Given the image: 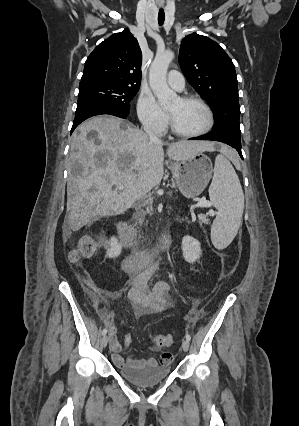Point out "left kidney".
<instances>
[{"label":"left kidney","mask_w":299,"mask_h":426,"mask_svg":"<svg viewBox=\"0 0 299 426\" xmlns=\"http://www.w3.org/2000/svg\"><path fill=\"white\" fill-rule=\"evenodd\" d=\"M181 249L183 257L188 263H194L202 255L200 242L191 236L183 237Z\"/></svg>","instance_id":"obj_1"}]
</instances>
